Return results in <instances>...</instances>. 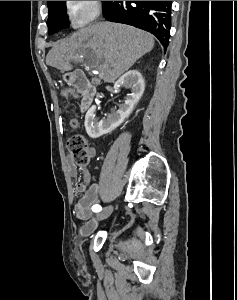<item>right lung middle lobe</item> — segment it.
Listing matches in <instances>:
<instances>
[{"label":"right lung middle lobe","instance_id":"right-lung-middle-lobe-1","mask_svg":"<svg viewBox=\"0 0 237 300\" xmlns=\"http://www.w3.org/2000/svg\"><path fill=\"white\" fill-rule=\"evenodd\" d=\"M49 17L47 20L48 34L52 35L68 26L65 1H47Z\"/></svg>","mask_w":237,"mask_h":300}]
</instances>
